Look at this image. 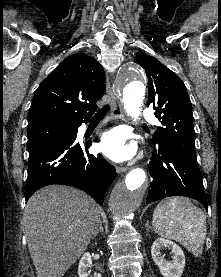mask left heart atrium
Wrapping results in <instances>:
<instances>
[{"label":"left heart atrium","mask_w":221,"mask_h":277,"mask_svg":"<svg viewBox=\"0 0 221 277\" xmlns=\"http://www.w3.org/2000/svg\"><path fill=\"white\" fill-rule=\"evenodd\" d=\"M100 149L116 162L130 159L135 151L134 145L127 142L126 133L119 128L111 129L102 135Z\"/></svg>","instance_id":"39dd6f15"}]
</instances>
